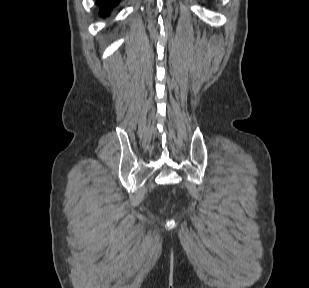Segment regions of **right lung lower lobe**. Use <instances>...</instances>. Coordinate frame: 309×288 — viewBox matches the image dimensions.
<instances>
[{"label": "right lung lower lobe", "mask_w": 309, "mask_h": 288, "mask_svg": "<svg viewBox=\"0 0 309 288\" xmlns=\"http://www.w3.org/2000/svg\"><path fill=\"white\" fill-rule=\"evenodd\" d=\"M119 0H97L99 7L101 8L100 15H106L112 6L117 5Z\"/></svg>", "instance_id": "98d812e1"}]
</instances>
